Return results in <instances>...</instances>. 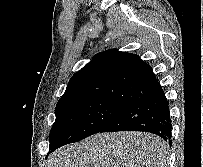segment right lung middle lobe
I'll list each match as a JSON object with an SVG mask.
<instances>
[{
  "instance_id": "obj_1",
  "label": "right lung middle lobe",
  "mask_w": 203,
  "mask_h": 167,
  "mask_svg": "<svg viewBox=\"0 0 203 167\" xmlns=\"http://www.w3.org/2000/svg\"><path fill=\"white\" fill-rule=\"evenodd\" d=\"M129 105L104 98H85L56 106L49 141L68 144L101 132Z\"/></svg>"
}]
</instances>
